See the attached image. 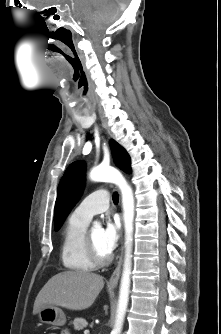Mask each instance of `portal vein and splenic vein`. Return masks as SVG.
I'll use <instances>...</instances> for the list:
<instances>
[{
	"mask_svg": "<svg viewBox=\"0 0 221 334\" xmlns=\"http://www.w3.org/2000/svg\"><path fill=\"white\" fill-rule=\"evenodd\" d=\"M84 334H89V330H85V331H84Z\"/></svg>",
	"mask_w": 221,
	"mask_h": 334,
	"instance_id": "portal-vein-and-splenic-vein-1",
	"label": "portal vein and splenic vein"
}]
</instances>
